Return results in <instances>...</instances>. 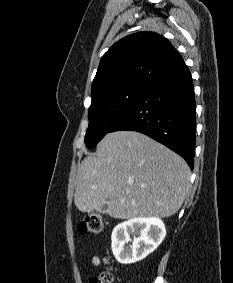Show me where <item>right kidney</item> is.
I'll list each match as a JSON object with an SVG mask.
<instances>
[{"instance_id":"ca27d5eb","label":"right kidney","mask_w":233,"mask_h":283,"mask_svg":"<svg viewBox=\"0 0 233 283\" xmlns=\"http://www.w3.org/2000/svg\"><path fill=\"white\" fill-rule=\"evenodd\" d=\"M130 235L133 236V240ZM165 236L166 228L161 219L132 218L114 228L111 236L112 252L119 263L132 264L152 253ZM129 241H132L131 246H127Z\"/></svg>"}]
</instances>
